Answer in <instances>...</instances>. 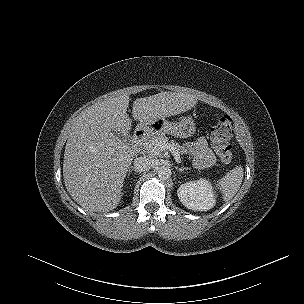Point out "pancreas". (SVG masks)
<instances>
[{
    "label": "pancreas",
    "mask_w": 304,
    "mask_h": 304,
    "mask_svg": "<svg viewBox=\"0 0 304 304\" xmlns=\"http://www.w3.org/2000/svg\"><path fill=\"white\" fill-rule=\"evenodd\" d=\"M158 142H166L169 146L174 148L175 151H177L179 154H182V147L174 141H169V138L165 135H155L146 143V150L149 151V149H151V147H153Z\"/></svg>",
    "instance_id": "cf45deb5"
}]
</instances>
